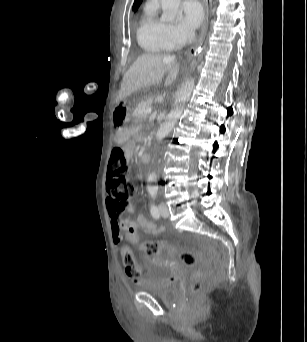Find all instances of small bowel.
<instances>
[{"instance_id": "small-bowel-1", "label": "small bowel", "mask_w": 307, "mask_h": 342, "mask_svg": "<svg viewBox=\"0 0 307 342\" xmlns=\"http://www.w3.org/2000/svg\"><path fill=\"white\" fill-rule=\"evenodd\" d=\"M129 210L133 211L131 207ZM124 225H139V229H144V233H149L150 237L158 236L164 231L163 226H159L143 215H138L136 218L127 217L122 222L113 220L111 222V235L116 244L121 242L123 237H128L124 232Z\"/></svg>"}]
</instances>
